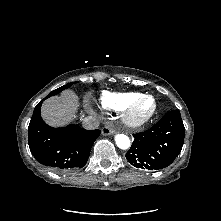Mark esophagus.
<instances>
[{
	"label": "esophagus",
	"mask_w": 221,
	"mask_h": 221,
	"mask_svg": "<svg viewBox=\"0 0 221 221\" xmlns=\"http://www.w3.org/2000/svg\"><path fill=\"white\" fill-rule=\"evenodd\" d=\"M101 132L105 136L113 135L116 132V129L112 125H108V126L103 127Z\"/></svg>",
	"instance_id": "1"
}]
</instances>
